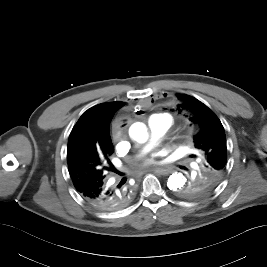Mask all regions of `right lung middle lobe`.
Instances as JSON below:
<instances>
[{
	"mask_svg": "<svg viewBox=\"0 0 267 267\" xmlns=\"http://www.w3.org/2000/svg\"><path fill=\"white\" fill-rule=\"evenodd\" d=\"M112 153L113 151H96L86 153L81 158H69L68 168L74 186L77 187L85 183L106 178L113 168L109 160Z\"/></svg>",
	"mask_w": 267,
	"mask_h": 267,
	"instance_id": "obj_1",
	"label": "right lung middle lobe"
}]
</instances>
